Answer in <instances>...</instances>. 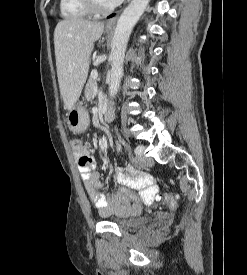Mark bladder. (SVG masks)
<instances>
[{
    "instance_id": "31cf9c89",
    "label": "bladder",
    "mask_w": 247,
    "mask_h": 275,
    "mask_svg": "<svg viewBox=\"0 0 247 275\" xmlns=\"http://www.w3.org/2000/svg\"><path fill=\"white\" fill-rule=\"evenodd\" d=\"M104 221L116 224L120 228L129 229L135 226L143 225L147 222V218L137 211H131L123 216H108Z\"/></svg>"
}]
</instances>
